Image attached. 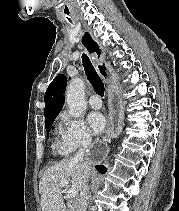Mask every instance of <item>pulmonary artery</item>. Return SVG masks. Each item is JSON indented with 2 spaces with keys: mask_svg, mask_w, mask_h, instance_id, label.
<instances>
[{
  "mask_svg": "<svg viewBox=\"0 0 179 211\" xmlns=\"http://www.w3.org/2000/svg\"><path fill=\"white\" fill-rule=\"evenodd\" d=\"M89 105L93 109H100L102 107V101L98 95L93 94L89 98Z\"/></svg>",
  "mask_w": 179,
  "mask_h": 211,
  "instance_id": "pulmonary-artery-1",
  "label": "pulmonary artery"
}]
</instances>
